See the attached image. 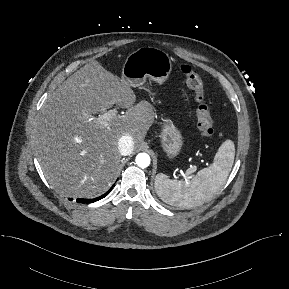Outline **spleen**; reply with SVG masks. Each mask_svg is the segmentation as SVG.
I'll use <instances>...</instances> for the list:
<instances>
[{"mask_svg":"<svg viewBox=\"0 0 289 289\" xmlns=\"http://www.w3.org/2000/svg\"><path fill=\"white\" fill-rule=\"evenodd\" d=\"M235 157L232 140H225L214 156L213 163L186 181L169 179L157 174L155 190L160 199L170 205L194 208L210 201L225 184Z\"/></svg>","mask_w":289,"mask_h":289,"instance_id":"obj_1","label":"spleen"}]
</instances>
